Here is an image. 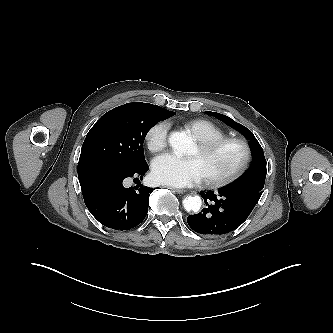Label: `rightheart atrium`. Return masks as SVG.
I'll return each mask as SVG.
<instances>
[{
  "mask_svg": "<svg viewBox=\"0 0 333 333\" xmlns=\"http://www.w3.org/2000/svg\"><path fill=\"white\" fill-rule=\"evenodd\" d=\"M169 124L166 121H160L152 125L145 135L148 149L151 152H159L167 145Z\"/></svg>",
  "mask_w": 333,
  "mask_h": 333,
  "instance_id": "1",
  "label": "right heart atrium"
}]
</instances>
